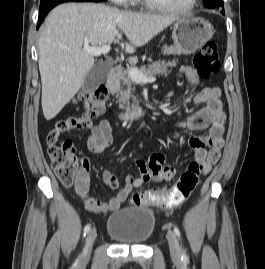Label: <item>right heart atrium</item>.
Here are the masks:
<instances>
[{
    "label": "right heart atrium",
    "instance_id": "1",
    "mask_svg": "<svg viewBox=\"0 0 265 269\" xmlns=\"http://www.w3.org/2000/svg\"><path fill=\"white\" fill-rule=\"evenodd\" d=\"M110 1L116 5L124 6L132 2L133 0H110Z\"/></svg>",
    "mask_w": 265,
    "mask_h": 269
}]
</instances>
